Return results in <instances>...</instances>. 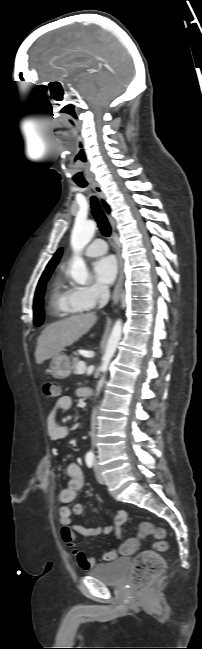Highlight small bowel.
I'll return each mask as SVG.
<instances>
[{
    "mask_svg": "<svg viewBox=\"0 0 202 649\" xmlns=\"http://www.w3.org/2000/svg\"><path fill=\"white\" fill-rule=\"evenodd\" d=\"M78 394L82 396L83 390H79ZM71 406L72 398L70 396H62L57 400L54 407L49 412L46 419V429L49 437L52 440H61L70 435V427L60 425L57 422V412L60 410L67 411L71 408ZM66 473L68 476L67 486L63 488L59 493V500L61 503H63V506L59 511L61 534L66 544L73 549V554L78 565L82 569L88 570L97 563V559L95 557L87 556L84 552L76 548V534L84 537H96L101 533H104L105 535H114L117 538H120L121 526L126 522L128 515L126 511H119L114 517L112 523L105 525L103 528L85 527L74 524L72 522V515H81L84 512L85 508L81 503L74 504L72 508H70L68 505L75 501L78 492L82 489L84 485V474L79 464L76 462H71L67 465ZM120 553H124L122 551V547L119 550L115 547H112L108 552L102 554L98 558V560L102 562L112 561L116 559Z\"/></svg>",
    "mask_w": 202,
    "mask_h": 649,
    "instance_id": "small-bowel-1",
    "label": "small bowel"
}]
</instances>
